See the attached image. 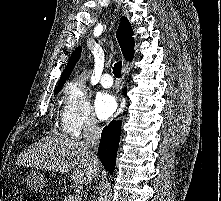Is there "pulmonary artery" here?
<instances>
[{
	"instance_id": "1",
	"label": "pulmonary artery",
	"mask_w": 221,
	"mask_h": 201,
	"mask_svg": "<svg viewBox=\"0 0 221 201\" xmlns=\"http://www.w3.org/2000/svg\"><path fill=\"white\" fill-rule=\"evenodd\" d=\"M100 83L103 87L109 88L113 84V78L109 73H105L101 76Z\"/></svg>"
}]
</instances>
